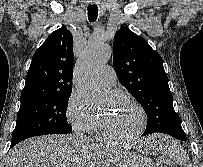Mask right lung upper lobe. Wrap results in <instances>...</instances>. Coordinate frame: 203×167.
I'll return each instance as SVG.
<instances>
[{
  "mask_svg": "<svg viewBox=\"0 0 203 167\" xmlns=\"http://www.w3.org/2000/svg\"><path fill=\"white\" fill-rule=\"evenodd\" d=\"M73 37L65 27L51 33L34 53L21 101L72 92Z\"/></svg>",
  "mask_w": 203,
  "mask_h": 167,
  "instance_id": "right-lung-upper-lobe-1",
  "label": "right lung upper lobe"
}]
</instances>
